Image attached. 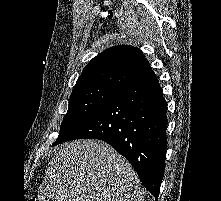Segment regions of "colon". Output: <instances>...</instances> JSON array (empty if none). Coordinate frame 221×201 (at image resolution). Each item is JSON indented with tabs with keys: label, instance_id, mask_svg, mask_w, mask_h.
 Returning a JSON list of instances; mask_svg holds the SVG:
<instances>
[{
	"label": "colon",
	"instance_id": "colon-1",
	"mask_svg": "<svg viewBox=\"0 0 221 201\" xmlns=\"http://www.w3.org/2000/svg\"><path fill=\"white\" fill-rule=\"evenodd\" d=\"M29 201H35L34 199H31V200H29Z\"/></svg>",
	"mask_w": 221,
	"mask_h": 201
}]
</instances>
